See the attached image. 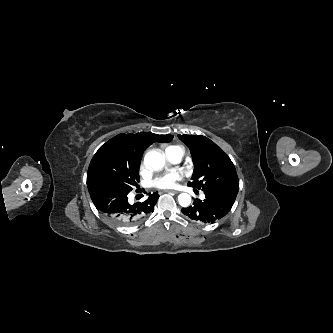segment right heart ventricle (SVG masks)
Masks as SVG:
<instances>
[{"label":"right heart ventricle","instance_id":"right-heart-ventricle-1","mask_svg":"<svg viewBox=\"0 0 333 333\" xmlns=\"http://www.w3.org/2000/svg\"><path fill=\"white\" fill-rule=\"evenodd\" d=\"M175 149H181L182 150V148L179 147V146L171 145V146H168L165 151L168 152V151L175 150Z\"/></svg>","mask_w":333,"mask_h":333}]
</instances>
